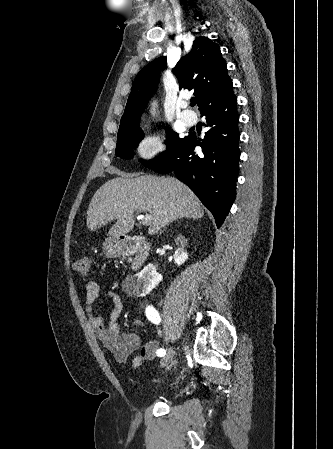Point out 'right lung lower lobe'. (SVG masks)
<instances>
[{"label": "right lung lower lobe", "instance_id": "obj_1", "mask_svg": "<svg viewBox=\"0 0 333 449\" xmlns=\"http://www.w3.org/2000/svg\"><path fill=\"white\" fill-rule=\"evenodd\" d=\"M200 112L208 128L204 138L189 134L169 158L152 169L162 174L173 172L188 185L212 212L219 228L235 199L239 170V115L233 90L217 96ZM196 146L202 153L194 152Z\"/></svg>", "mask_w": 333, "mask_h": 449}]
</instances>
